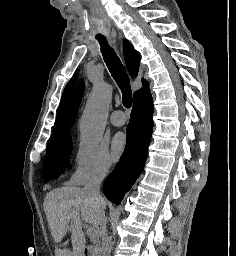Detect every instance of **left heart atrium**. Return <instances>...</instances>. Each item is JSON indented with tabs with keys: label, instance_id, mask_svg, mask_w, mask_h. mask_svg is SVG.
I'll use <instances>...</instances> for the list:
<instances>
[{
	"label": "left heart atrium",
	"instance_id": "left-heart-atrium-1",
	"mask_svg": "<svg viewBox=\"0 0 236 256\" xmlns=\"http://www.w3.org/2000/svg\"><path fill=\"white\" fill-rule=\"evenodd\" d=\"M126 148V137L122 133H118L114 136L111 145V157L114 160L120 158Z\"/></svg>",
	"mask_w": 236,
	"mask_h": 256
}]
</instances>
